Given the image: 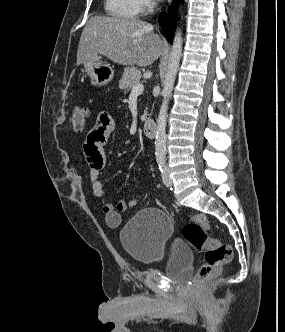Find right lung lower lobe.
Segmentation results:
<instances>
[{"label":"right lung lower lobe","instance_id":"obj_1","mask_svg":"<svg viewBox=\"0 0 285 332\" xmlns=\"http://www.w3.org/2000/svg\"><path fill=\"white\" fill-rule=\"evenodd\" d=\"M177 18V5L176 2L173 3L169 9V14L162 12L159 16V23L163 31L165 32L168 40L172 43L173 39V29L175 28Z\"/></svg>","mask_w":285,"mask_h":332}]
</instances>
